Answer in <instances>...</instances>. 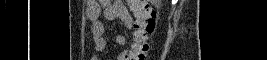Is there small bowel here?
<instances>
[{
  "mask_svg": "<svg viewBox=\"0 0 267 60\" xmlns=\"http://www.w3.org/2000/svg\"><path fill=\"white\" fill-rule=\"evenodd\" d=\"M104 15L108 21H121L125 26L134 27V20L131 12L123 1H108V0H90L87 3L86 14L89 20H91L90 33L93 39L95 50L100 53L106 49L105 32L106 28L103 21L100 19L101 15ZM135 38L133 33L132 41ZM126 38L124 35H118L116 37V43L119 46L124 45ZM92 60H98V56L94 55ZM117 60H132V48L130 50L121 51Z\"/></svg>",
  "mask_w": 267,
  "mask_h": 60,
  "instance_id": "1",
  "label": "small bowel"
}]
</instances>
